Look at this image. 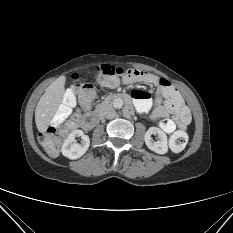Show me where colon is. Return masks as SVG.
Wrapping results in <instances>:
<instances>
[{
  "mask_svg": "<svg viewBox=\"0 0 233 233\" xmlns=\"http://www.w3.org/2000/svg\"><path fill=\"white\" fill-rule=\"evenodd\" d=\"M140 71L134 69H124L110 64H101L97 67V82L104 86H117L125 77L135 78L139 76ZM77 80V77H75ZM160 85L165 93L173 100H176V89L172 84L164 79H160ZM94 89L89 82H77L65 95L64 102L58 109L50 127L40 136V141L44 148L51 155L58 152V148L63 136L73 128V122L69 121L72 113V107L78 99H89L93 96ZM188 143V135L184 131H177L169 140L170 148L179 152L182 151Z\"/></svg>",
  "mask_w": 233,
  "mask_h": 233,
  "instance_id": "5ec220e1",
  "label": "colon"
}]
</instances>
